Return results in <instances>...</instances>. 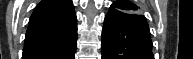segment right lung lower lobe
Listing matches in <instances>:
<instances>
[{"mask_svg": "<svg viewBox=\"0 0 193 59\" xmlns=\"http://www.w3.org/2000/svg\"><path fill=\"white\" fill-rule=\"evenodd\" d=\"M76 44L77 33L51 48L23 51L22 59H74Z\"/></svg>", "mask_w": 193, "mask_h": 59, "instance_id": "1", "label": "right lung lower lobe"}]
</instances>
